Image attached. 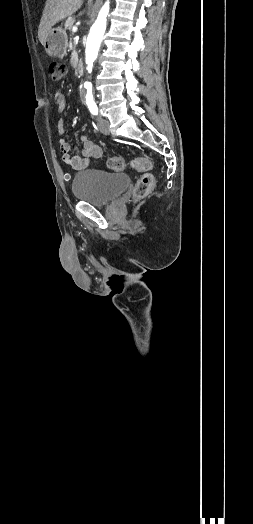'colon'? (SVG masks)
<instances>
[{
  "mask_svg": "<svg viewBox=\"0 0 253 524\" xmlns=\"http://www.w3.org/2000/svg\"><path fill=\"white\" fill-rule=\"evenodd\" d=\"M48 70L51 79L55 82L60 81L68 72L67 66L60 62L50 63ZM107 165L114 171H122L125 168V161L121 157H113L108 160ZM151 166V162L147 159L135 158L131 161L133 169L143 172L134 187L133 196L135 199L145 197L154 188L155 178L147 172Z\"/></svg>",
  "mask_w": 253,
  "mask_h": 524,
  "instance_id": "obj_1",
  "label": "colon"
}]
</instances>
